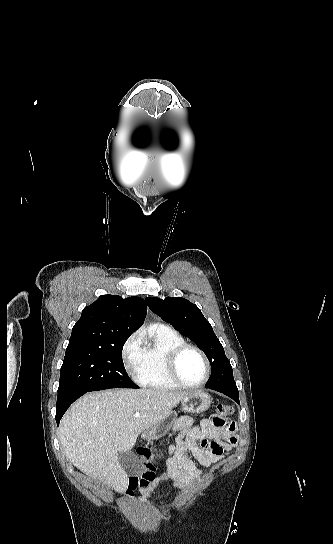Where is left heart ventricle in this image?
<instances>
[{
    "label": "left heart ventricle",
    "instance_id": "left-heart-ventricle-1",
    "mask_svg": "<svg viewBox=\"0 0 333 544\" xmlns=\"http://www.w3.org/2000/svg\"><path fill=\"white\" fill-rule=\"evenodd\" d=\"M179 374L189 384L201 382L206 375L203 359L194 351L186 352L179 362Z\"/></svg>",
    "mask_w": 333,
    "mask_h": 544
}]
</instances>
